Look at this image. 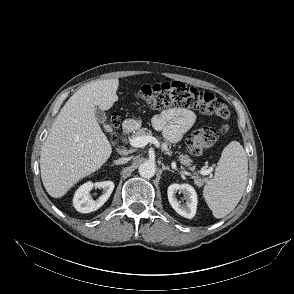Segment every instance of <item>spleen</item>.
Listing matches in <instances>:
<instances>
[{
	"mask_svg": "<svg viewBox=\"0 0 294 294\" xmlns=\"http://www.w3.org/2000/svg\"><path fill=\"white\" fill-rule=\"evenodd\" d=\"M247 174V154L239 142L232 141L221 154L214 178L203 189L214 217L223 218L235 209L246 187Z\"/></svg>",
	"mask_w": 294,
	"mask_h": 294,
	"instance_id": "obj_1",
	"label": "spleen"
}]
</instances>
